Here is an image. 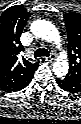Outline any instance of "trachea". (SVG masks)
Returning <instances> with one entry per match:
<instances>
[{
  "mask_svg": "<svg viewBox=\"0 0 81 124\" xmlns=\"http://www.w3.org/2000/svg\"><path fill=\"white\" fill-rule=\"evenodd\" d=\"M41 56H45L48 57L49 56V51L46 48H38L35 52H34V57H41Z\"/></svg>",
  "mask_w": 81,
  "mask_h": 124,
  "instance_id": "obj_1",
  "label": "trachea"
}]
</instances>
